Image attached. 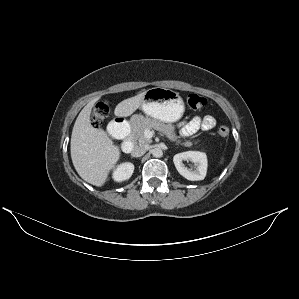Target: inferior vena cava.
Instances as JSON below:
<instances>
[{
	"label": "inferior vena cava",
	"instance_id": "602c4592",
	"mask_svg": "<svg viewBox=\"0 0 299 299\" xmlns=\"http://www.w3.org/2000/svg\"><path fill=\"white\" fill-rule=\"evenodd\" d=\"M147 150H148V145L140 144V145L135 146L132 149L131 155L133 157H140V156L144 155Z\"/></svg>",
	"mask_w": 299,
	"mask_h": 299
}]
</instances>
